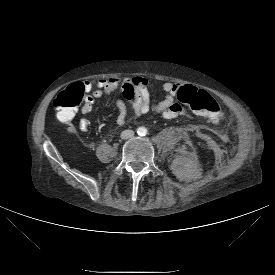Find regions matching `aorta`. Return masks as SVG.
<instances>
[{"instance_id":"762f6f07","label":"aorta","mask_w":275,"mask_h":275,"mask_svg":"<svg viewBox=\"0 0 275 275\" xmlns=\"http://www.w3.org/2000/svg\"><path fill=\"white\" fill-rule=\"evenodd\" d=\"M138 133H139L140 135L145 134V133H146V128L140 127V128L138 129Z\"/></svg>"}]
</instances>
